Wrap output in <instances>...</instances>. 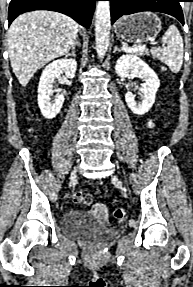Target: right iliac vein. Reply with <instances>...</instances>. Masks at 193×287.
Masks as SVG:
<instances>
[{
  "label": "right iliac vein",
  "mask_w": 193,
  "mask_h": 287,
  "mask_svg": "<svg viewBox=\"0 0 193 287\" xmlns=\"http://www.w3.org/2000/svg\"><path fill=\"white\" fill-rule=\"evenodd\" d=\"M77 175V168H74L73 171L71 172V180H73Z\"/></svg>",
  "instance_id": "right-iliac-vein-1"
}]
</instances>
